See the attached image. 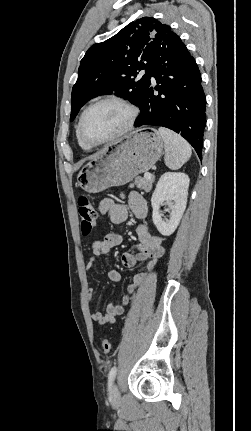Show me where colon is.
<instances>
[{
    "mask_svg": "<svg viewBox=\"0 0 251 431\" xmlns=\"http://www.w3.org/2000/svg\"><path fill=\"white\" fill-rule=\"evenodd\" d=\"M78 212L81 232L84 236H88L95 227L97 214L93 204L85 195H81L78 199ZM102 348L105 354L110 353L111 343L108 339L102 341Z\"/></svg>",
    "mask_w": 251,
    "mask_h": 431,
    "instance_id": "1",
    "label": "colon"
}]
</instances>
